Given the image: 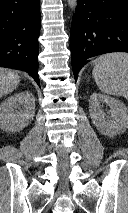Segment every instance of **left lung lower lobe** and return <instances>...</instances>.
<instances>
[{"mask_svg": "<svg viewBox=\"0 0 128 213\" xmlns=\"http://www.w3.org/2000/svg\"><path fill=\"white\" fill-rule=\"evenodd\" d=\"M70 48L74 78L90 57L128 52V0H78Z\"/></svg>", "mask_w": 128, "mask_h": 213, "instance_id": "left-lung-lower-lobe-1", "label": "left lung lower lobe"}]
</instances>
